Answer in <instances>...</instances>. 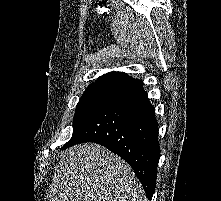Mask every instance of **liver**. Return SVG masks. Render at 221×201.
<instances>
[{"label":"liver","instance_id":"obj_1","mask_svg":"<svg viewBox=\"0 0 221 201\" xmlns=\"http://www.w3.org/2000/svg\"><path fill=\"white\" fill-rule=\"evenodd\" d=\"M141 187L130 166L103 146L80 144L62 153L48 201H138Z\"/></svg>","mask_w":221,"mask_h":201}]
</instances>
